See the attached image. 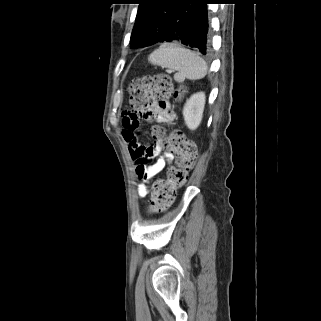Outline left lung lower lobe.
Masks as SVG:
<instances>
[{
  "label": "left lung lower lobe",
  "mask_w": 321,
  "mask_h": 321,
  "mask_svg": "<svg viewBox=\"0 0 321 321\" xmlns=\"http://www.w3.org/2000/svg\"><path fill=\"white\" fill-rule=\"evenodd\" d=\"M213 0H178L161 42H179L202 54L210 51L207 4Z\"/></svg>",
  "instance_id": "1"
}]
</instances>
